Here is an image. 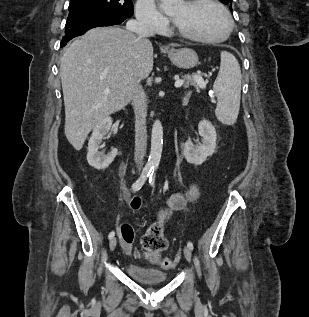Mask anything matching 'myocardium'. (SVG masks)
Returning <instances> with one entry per match:
<instances>
[{
	"mask_svg": "<svg viewBox=\"0 0 309 317\" xmlns=\"http://www.w3.org/2000/svg\"><path fill=\"white\" fill-rule=\"evenodd\" d=\"M185 3L188 7H196V6H199L201 4H211L215 7H217L221 11V13L223 14V16L226 20L227 28H226L225 33L220 37L206 38V37H201V36L187 33L185 31L181 30L174 22V31L179 37L184 38V39L189 40V41H192V42L202 43V44L221 43V42L226 41L230 37V35L233 32L234 23H233V19H232L230 13L228 12L226 7L222 3H220L218 0H187V1H185Z\"/></svg>",
	"mask_w": 309,
	"mask_h": 317,
	"instance_id": "myocardium-1",
	"label": "myocardium"
}]
</instances>
